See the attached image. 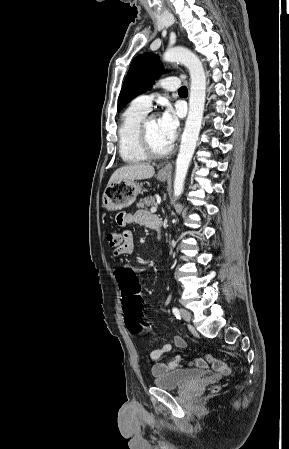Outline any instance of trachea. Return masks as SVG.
Wrapping results in <instances>:
<instances>
[{"mask_svg": "<svg viewBox=\"0 0 289 449\" xmlns=\"http://www.w3.org/2000/svg\"><path fill=\"white\" fill-rule=\"evenodd\" d=\"M178 92L179 93H188V90H187V88L185 86H182V87L179 88Z\"/></svg>", "mask_w": 289, "mask_h": 449, "instance_id": "trachea-1", "label": "trachea"}]
</instances>
